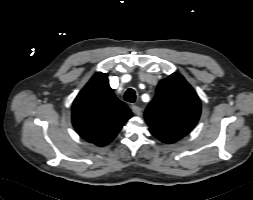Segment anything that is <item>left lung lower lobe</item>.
<instances>
[{"label":"left lung lower lobe","mask_w":253,"mask_h":200,"mask_svg":"<svg viewBox=\"0 0 253 200\" xmlns=\"http://www.w3.org/2000/svg\"><path fill=\"white\" fill-rule=\"evenodd\" d=\"M151 133L164 143H174L182 138L176 135L164 134L159 132H151Z\"/></svg>","instance_id":"0a47b994"}]
</instances>
